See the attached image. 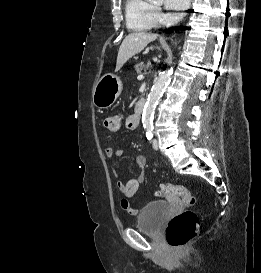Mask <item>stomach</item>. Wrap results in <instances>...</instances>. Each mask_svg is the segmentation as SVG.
I'll list each match as a JSON object with an SVG mask.
<instances>
[{"label":"stomach","mask_w":261,"mask_h":273,"mask_svg":"<svg viewBox=\"0 0 261 273\" xmlns=\"http://www.w3.org/2000/svg\"><path fill=\"white\" fill-rule=\"evenodd\" d=\"M123 89L120 77L112 73H106L96 83L92 99L93 104L101 109L109 108L119 97Z\"/></svg>","instance_id":"0dacf381"}]
</instances>
